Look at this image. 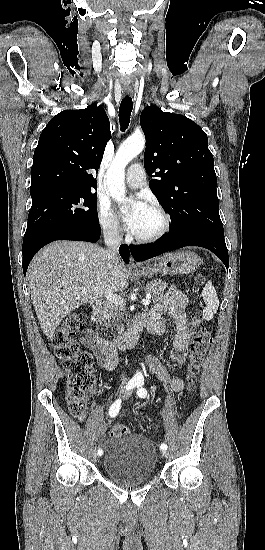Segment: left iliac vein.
<instances>
[{"label": "left iliac vein", "instance_id": "left-iliac-vein-1", "mask_svg": "<svg viewBox=\"0 0 265 550\" xmlns=\"http://www.w3.org/2000/svg\"><path fill=\"white\" fill-rule=\"evenodd\" d=\"M129 396H130V393L127 395V397H129ZM162 453L165 457H168V452L166 450H163Z\"/></svg>", "mask_w": 265, "mask_h": 550}]
</instances>
